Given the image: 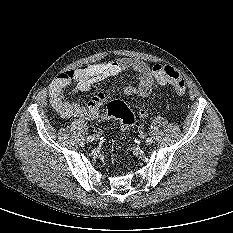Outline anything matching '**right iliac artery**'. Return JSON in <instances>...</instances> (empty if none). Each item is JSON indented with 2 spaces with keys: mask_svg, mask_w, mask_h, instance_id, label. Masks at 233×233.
Wrapping results in <instances>:
<instances>
[{
  "mask_svg": "<svg viewBox=\"0 0 233 233\" xmlns=\"http://www.w3.org/2000/svg\"><path fill=\"white\" fill-rule=\"evenodd\" d=\"M94 140V136L90 135L87 137V141L92 142Z\"/></svg>",
  "mask_w": 233,
  "mask_h": 233,
  "instance_id": "right-iliac-artery-1",
  "label": "right iliac artery"
}]
</instances>
